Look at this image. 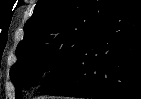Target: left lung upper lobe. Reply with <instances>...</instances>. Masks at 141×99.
<instances>
[{
    "mask_svg": "<svg viewBox=\"0 0 141 99\" xmlns=\"http://www.w3.org/2000/svg\"><path fill=\"white\" fill-rule=\"evenodd\" d=\"M119 0H38L16 49L17 62L10 69L16 98L21 85L37 80L45 70L56 73L45 80L46 92L73 67L88 38ZM36 76V77H35ZM30 85V84H29Z\"/></svg>",
    "mask_w": 141,
    "mask_h": 99,
    "instance_id": "obj_1",
    "label": "left lung upper lobe"
}]
</instances>
